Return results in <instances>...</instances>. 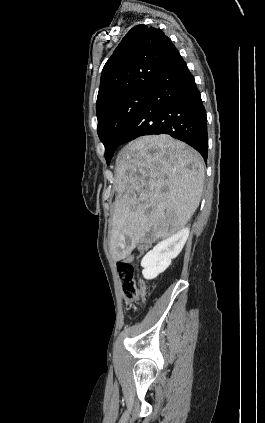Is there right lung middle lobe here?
Masks as SVG:
<instances>
[{"label": "right lung middle lobe", "mask_w": 265, "mask_h": 423, "mask_svg": "<svg viewBox=\"0 0 265 423\" xmlns=\"http://www.w3.org/2000/svg\"><path fill=\"white\" fill-rule=\"evenodd\" d=\"M151 89L133 92L103 110L98 118V136L105 146L107 164L118 147V138L148 98Z\"/></svg>", "instance_id": "1"}]
</instances>
